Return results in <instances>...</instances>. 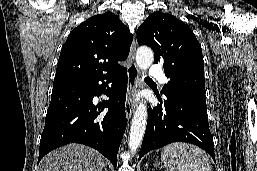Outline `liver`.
<instances>
[{
	"label": "liver",
	"mask_w": 257,
	"mask_h": 171,
	"mask_svg": "<svg viewBox=\"0 0 257 171\" xmlns=\"http://www.w3.org/2000/svg\"><path fill=\"white\" fill-rule=\"evenodd\" d=\"M104 157L87 146L72 143L47 154L39 164V171H103Z\"/></svg>",
	"instance_id": "6515ba94"
}]
</instances>
